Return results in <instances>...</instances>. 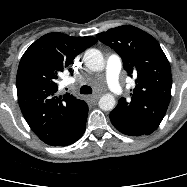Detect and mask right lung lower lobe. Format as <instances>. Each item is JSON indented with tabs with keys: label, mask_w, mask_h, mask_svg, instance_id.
<instances>
[{
	"label": "right lung lower lobe",
	"mask_w": 187,
	"mask_h": 187,
	"mask_svg": "<svg viewBox=\"0 0 187 187\" xmlns=\"http://www.w3.org/2000/svg\"><path fill=\"white\" fill-rule=\"evenodd\" d=\"M88 109L84 112L77 124L64 137L56 141L52 146H67L80 139L85 132Z\"/></svg>",
	"instance_id": "98d812e1"
}]
</instances>
